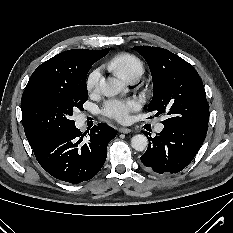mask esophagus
I'll use <instances>...</instances> for the list:
<instances>
[{
	"label": "esophagus",
	"instance_id": "obj_1",
	"mask_svg": "<svg viewBox=\"0 0 233 233\" xmlns=\"http://www.w3.org/2000/svg\"><path fill=\"white\" fill-rule=\"evenodd\" d=\"M132 130L130 128H127V127H120L119 128V132L120 133H124V134H128L130 133Z\"/></svg>",
	"mask_w": 233,
	"mask_h": 233
}]
</instances>
